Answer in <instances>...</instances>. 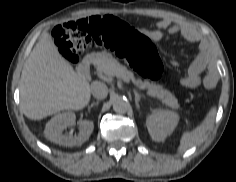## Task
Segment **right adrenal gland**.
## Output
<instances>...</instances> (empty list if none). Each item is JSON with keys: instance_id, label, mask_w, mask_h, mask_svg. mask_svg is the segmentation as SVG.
<instances>
[{"instance_id": "right-adrenal-gland-1", "label": "right adrenal gland", "mask_w": 236, "mask_h": 182, "mask_svg": "<svg viewBox=\"0 0 236 182\" xmlns=\"http://www.w3.org/2000/svg\"><path fill=\"white\" fill-rule=\"evenodd\" d=\"M99 104V101L93 102L90 106H89V110L93 107V106H97Z\"/></svg>"}]
</instances>
